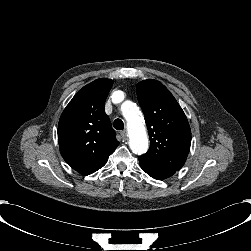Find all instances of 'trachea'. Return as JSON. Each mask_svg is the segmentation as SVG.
I'll use <instances>...</instances> for the list:
<instances>
[{
    "mask_svg": "<svg viewBox=\"0 0 251 251\" xmlns=\"http://www.w3.org/2000/svg\"><path fill=\"white\" fill-rule=\"evenodd\" d=\"M113 126L117 130H123L124 123H123V121L121 119H115L114 123H113Z\"/></svg>",
    "mask_w": 251,
    "mask_h": 251,
    "instance_id": "1",
    "label": "trachea"
}]
</instances>
